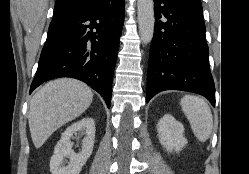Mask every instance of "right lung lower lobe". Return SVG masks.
I'll list each match as a JSON object with an SVG mask.
<instances>
[{
  "instance_id": "1",
  "label": "right lung lower lobe",
  "mask_w": 249,
  "mask_h": 174,
  "mask_svg": "<svg viewBox=\"0 0 249 174\" xmlns=\"http://www.w3.org/2000/svg\"><path fill=\"white\" fill-rule=\"evenodd\" d=\"M123 23L124 0H117L50 25L30 93L45 81L71 77L100 93L109 108Z\"/></svg>"
}]
</instances>
